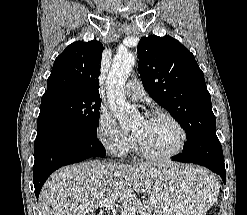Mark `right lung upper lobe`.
<instances>
[{"mask_svg":"<svg viewBox=\"0 0 247 215\" xmlns=\"http://www.w3.org/2000/svg\"><path fill=\"white\" fill-rule=\"evenodd\" d=\"M102 51L103 45L95 40L70 44L54 61L47 91L67 88L100 96L98 77Z\"/></svg>","mask_w":247,"mask_h":215,"instance_id":"right-lung-upper-lobe-1","label":"right lung upper lobe"}]
</instances>
